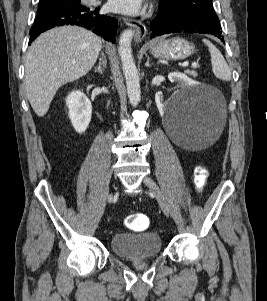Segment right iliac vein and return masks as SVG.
I'll return each instance as SVG.
<instances>
[{"label":"right iliac vein","instance_id":"obj_1","mask_svg":"<svg viewBox=\"0 0 267 301\" xmlns=\"http://www.w3.org/2000/svg\"><path fill=\"white\" fill-rule=\"evenodd\" d=\"M107 200L108 202H111L113 200V194H109Z\"/></svg>","mask_w":267,"mask_h":301}]
</instances>
